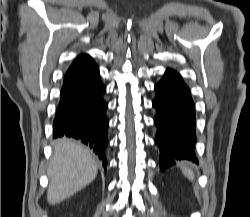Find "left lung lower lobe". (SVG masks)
<instances>
[{
  "label": "left lung lower lobe",
  "mask_w": 250,
  "mask_h": 217,
  "mask_svg": "<svg viewBox=\"0 0 250 217\" xmlns=\"http://www.w3.org/2000/svg\"><path fill=\"white\" fill-rule=\"evenodd\" d=\"M156 108L154 123L157 126L155 142L160 148V167L164 171L176 160L198 162L194 153L195 109L190 90L182 77L168 69L155 85Z\"/></svg>",
  "instance_id": "1"
}]
</instances>
